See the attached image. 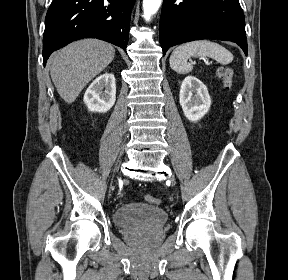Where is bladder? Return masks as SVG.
Wrapping results in <instances>:
<instances>
[{"label": "bladder", "instance_id": "bladder-1", "mask_svg": "<svg viewBox=\"0 0 288 280\" xmlns=\"http://www.w3.org/2000/svg\"><path fill=\"white\" fill-rule=\"evenodd\" d=\"M113 221L125 229L156 231L165 226L168 214L158 206L131 203L117 208L113 213Z\"/></svg>", "mask_w": 288, "mask_h": 280}]
</instances>
